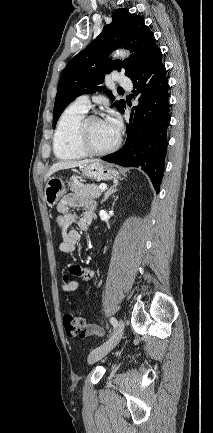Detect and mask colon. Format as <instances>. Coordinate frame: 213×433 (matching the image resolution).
<instances>
[{"instance_id": "colon-1", "label": "colon", "mask_w": 213, "mask_h": 433, "mask_svg": "<svg viewBox=\"0 0 213 433\" xmlns=\"http://www.w3.org/2000/svg\"><path fill=\"white\" fill-rule=\"evenodd\" d=\"M66 334L70 337H85L88 335L83 316L76 311H69L63 316Z\"/></svg>"}]
</instances>
